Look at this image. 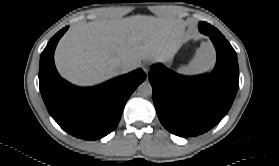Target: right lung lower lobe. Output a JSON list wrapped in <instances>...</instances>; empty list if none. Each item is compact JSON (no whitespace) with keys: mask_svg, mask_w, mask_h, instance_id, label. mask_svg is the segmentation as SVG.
I'll use <instances>...</instances> for the list:
<instances>
[{"mask_svg":"<svg viewBox=\"0 0 279 166\" xmlns=\"http://www.w3.org/2000/svg\"><path fill=\"white\" fill-rule=\"evenodd\" d=\"M65 27L48 42L40 57L39 85L49 114L69 134L95 140L118 125L126 101L146 78L142 69L94 88L75 87L62 79L54 65V51Z\"/></svg>","mask_w":279,"mask_h":166,"instance_id":"98d812e1","label":"right lung lower lobe"}]
</instances>
